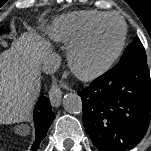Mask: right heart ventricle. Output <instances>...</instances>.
<instances>
[{
  "label": "right heart ventricle",
  "instance_id": "right-heart-ventricle-1",
  "mask_svg": "<svg viewBox=\"0 0 151 151\" xmlns=\"http://www.w3.org/2000/svg\"><path fill=\"white\" fill-rule=\"evenodd\" d=\"M106 12L85 10L66 14L56 19L49 29L50 35L59 41L75 42Z\"/></svg>",
  "mask_w": 151,
  "mask_h": 151
}]
</instances>
